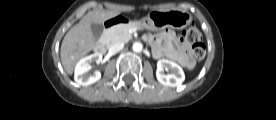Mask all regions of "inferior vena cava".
Instances as JSON below:
<instances>
[{"instance_id":"inferior-vena-cava-1","label":"inferior vena cava","mask_w":276,"mask_h":120,"mask_svg":"<svg viewBox=\"0 0 276 120\" xmlns=\"http://www.w3.org/2000/svg\"><path fill=\"white\" fill-rule=\"evenodd\" d=\"M123 47H124V43L118 42V43L113 44L110 47L109 51H110V53L115 54V53L119 52L120 50H122Z\"/></svg>"}]
</instances>
